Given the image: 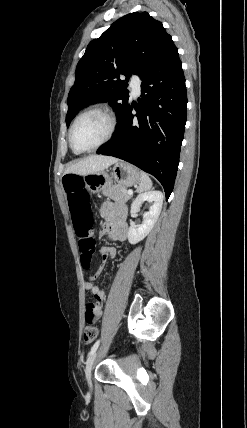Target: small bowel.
Wrapping results in <instances>:
<instances>
[{"label": "small bowel", "mask_w": 247, "mask_h": 428, "mask_svg": "<svg viewBox=\"0 0 247 428\" xmlns=\"http://www.w3.org/2000/svg\"><path fill=\"white\" fill-rule=\"evenodd\" d=\"M101 214L106 219L105 229L112 239L119 242L126 241L129 233L128 225L125 221L126 208L106 202L101 207ZM99 255L102 261L106 262L108 259H112L116 256V250L111 246H102L99 250ZM101 269L102 266L99 268V270ZM84 288L90 291L94 298L102 300L105 299V292L96 284L86 282L84 284Z\"/></svg>", "instance_id": "small-bowel-1"}]
</instances>
